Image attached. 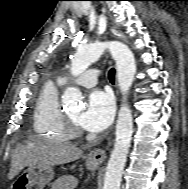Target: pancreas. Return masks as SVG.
I'll return each instance as SVG.
<instances>
[{"instance_id":"pancreas-1","label":"pancreas","mask_w":188,"mask_h":189,"mask_svg":"<svg viewBox=\"0 0 188 189\" xmlns=\"http://www.w3.org/2000/svg\"><path fill=\"white\" fill-rule=\"evenodd\" d=\"M62 186L61 179L57 180L55 183L52 184L51 189H59Z\"/></svg>"}]
</instances>
